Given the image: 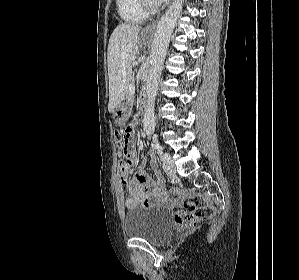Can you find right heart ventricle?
<instances>
[{
  "label": "right heart ventricle",
  "mask_w": 299,
  "mask_h": 280,
  "mask_svg": "<svg viewBox=\"0 0 299 280\" xmlns=\"http://www.w3.org/2000/svg\"><path fill=\"white\" fill-rule=\"evenodd\" d=\"M116 3L119 16L127 23L138 24L147 17L139 0H116Z\"/></svg>",
  "instance_id": "e07e8e85"
}]
</instances>
